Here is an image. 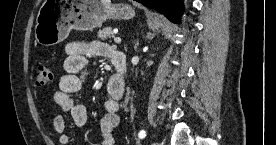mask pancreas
Instances as JSON below:
<instances>
[{
  "mask_svg": "<svg viewBox=\"0 0 276 145\" xmlns=\"http://www.w3.org/2000/svg\"><path fill=\"white\" fill-rule=\"evenodd\" d=\"M112 35V27H105L102 30H99L97 32V36L98 38L102 39V40H107L108 38H110Z\"/></svg>",
  "mask_w": 276,
  "mask_h": 145,
  "instance_id": "pancreas-1",
  "label": "pancreas"
}]
</instances>
